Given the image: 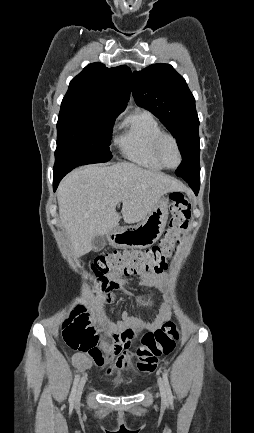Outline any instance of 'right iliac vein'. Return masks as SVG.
<instances>
[{
  "label": "right iliac vein",
  "instance_id": "1",
  "mask_svg": "<svg viewBox=\"0 0 254 433\" xmlns=\"http://www.w3.org/2000/svg\"><path fill=\"white\" fill-rule=\"evenodd\" d=\"M85 383H86V377H83L80 380L78 387H77V390H76V393H75V403H78L80 401L81 394H82L83 388L85 386Z\"/></svg>",
  "mask_w": 254,
  "mask_h": 433
}]
</instances>
